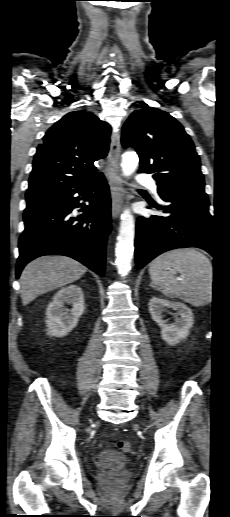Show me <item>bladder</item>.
I'll list each match as a JSON object with an SVG mask.
<instances>
[{
  "label": "bladder",
  "mask_w": 230,
  "mask_h": 517,
  "mask_svg": "<svg viewBox=\"0 0 230 517\" xmlns=\"http://www.w3.org/2000/svg\"><path fill=\"white\" fill-rule=\"evenodd\" d=\"M129 462L130 458L128 455L113 449H104L95 457L96 466L102 468H122L128 465Z\"/></svg>",
  "instance_id": "1"
}]
</instances>
